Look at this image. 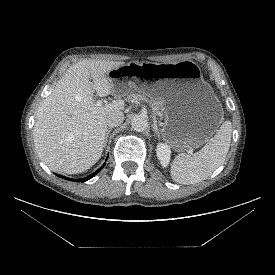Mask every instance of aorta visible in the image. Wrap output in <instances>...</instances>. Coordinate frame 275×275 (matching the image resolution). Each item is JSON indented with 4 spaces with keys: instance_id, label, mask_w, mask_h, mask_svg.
<instances>
[{
    "instance_id": "obj_1",
    "label": "aorta",
    "mask_w": 275,
    "mask_h": 275,
    "mask_svg": "<svg viewBox=\"0 0 275 275\" xmlns=\"http://www.w3.org/2000/svg\"><path fill=\"white\" fill-rule=\"evenodd\" d=\"M131 126L137 132L145 131L148 126V119L144 114H136L131 119Z\"/></svg>"
}]
</instances>
